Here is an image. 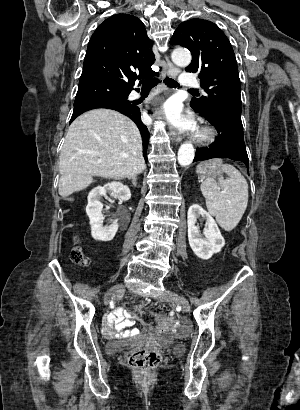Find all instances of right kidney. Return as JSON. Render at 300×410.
Returning <instances> with one entry per match:
<instances>
[{"mask_svg": "<svg viewBox=\"0 0 300 410\" xmlns=\"http://www.w3.org/2000/svg\"><path fill=\"white\" fill-rule=\"evenodd\" d=\"M107 193L120 201H127L131 198L128 186L116 181L107 183L104 186H97L90 191L86 213L90 219L91 235L95 240L104 242L112 240L119 227L117 220L112 221L110 225L103 226L104 217L101 213L103 208L101 198L105 197Z\"/></svg>", "mask_w": 300, "mask_h": 410, "instance_id": "obj_1", "label": "right kidney"}]
</instances>
